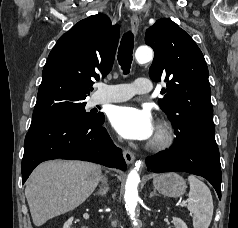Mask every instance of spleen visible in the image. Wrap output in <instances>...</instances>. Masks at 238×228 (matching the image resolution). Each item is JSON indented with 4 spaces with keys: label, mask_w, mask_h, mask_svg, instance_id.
Here are the masks:
<instances>
[{
    "label": "spleen",
    "mask_w": 238,
    "mask_h": 228,
    "mask_svg": "<svg viewBox=\"0 0 238 228\" xmlns=\"http://www.w3.org/2000/svg\"><path fill=\"white\" fill-rule=\"evenodd\" d=\"M190 184L187 209L193 213L194 228H208L213 216V199L207 185L197 177L188 176Z\"/></svg>",
    "instance_id": "3e777b00"
}]
</instances>
